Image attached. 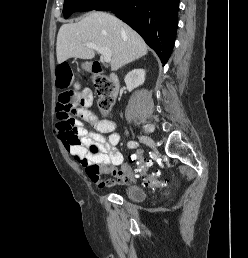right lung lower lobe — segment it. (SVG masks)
<instances>
[{"label": "right lung lower lobe", "instance_id": "1", "mask_svg": "<svg viewBox=\"0 0 248 258\" xmlns=\"http://www.w3.org/2000/svg\"><path fill=\"white\" fill-rule=\"evenodd\" d=\"M178 6L179 0H109L95 10H112L143 37L165 65L174 46Z\"/></svg>", "mask_w": 248, "mask_h": 258}]
</instances>
